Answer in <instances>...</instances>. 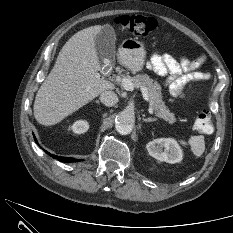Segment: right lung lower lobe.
<instances>
[{"label":"right lung lower lobe","instance_id":"right-lung-lower-lobe-1","mask_svg":"<svg viewBox=\"0 0 233 233\" xmlns=\"http://www.w3.org/2000/svg\"><path fill=\"white\" fill-rule=\"evenodd\" d=\"M34 139H35V142L37 143V140H36L35 137H34ZM46 153H48V152H46ZM48 154H49V153H48ZM49 155H50L51 157H53V158H55V159L61 161V162H76V161H78V160L75 159V158H70V157H59V156L51 155V154H49Z\"/></svg>","mask_w":233,"mask_h":233}]
</instances>
